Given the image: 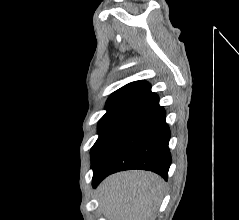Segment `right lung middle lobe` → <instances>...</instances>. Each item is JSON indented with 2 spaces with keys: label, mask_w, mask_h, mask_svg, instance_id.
<instances>
[{
  "label": "right lung middle lobe",
  "mask_w": 239,
  "mask_h": 220,
  "mask_svg": "<svg viewBox=\"0 0 239 220\" xmlns=\"http://www.w3.org/2000/svg\"><path fill=\"white\" fill-rule=\"evenodd\" d=\"M130 109H131L130 107H122L109 110L100 119L98 124L99 137L91 149L92 169L99 162L106 147L108 146L114 134L122 124L127 114L129 113Z\"/></svg>",
  "instance_id": "obj_1"
}]
</instances>
